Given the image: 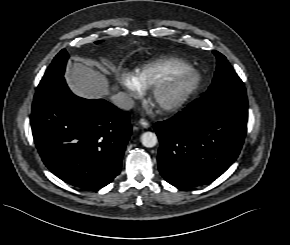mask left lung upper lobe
<instances>
[{"label":"left lung upper lobe","instance_id":"obj_1","mask_svg":"<svg viewBox=\"0 0 290 245\" xmlns=\"http://www.w3.org/2000/svg\"><path fill=\"white\" fill-rule=\"evenodd\" d=\"M217 58V67L214 79L208 90H213L227 85H243L242 80L235 73L226 57L217 51H213Z\"/></svg>","mask_w":290,"mask_h":245}]
</instances>
